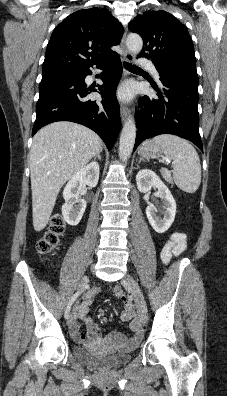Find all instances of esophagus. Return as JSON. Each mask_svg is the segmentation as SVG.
<instances>
[{"mask_svg": "<svg viewBox=\"0 0 227 396\" xmlns=\"http://www.w3.org/2000/svg\"><path fill=\"white\" fill-rule=\"evenodd\" d=\"M125 39H126V31L123 34V37L121 39L120 45L123 49V53H124V60L126 62H133L134 60V56L132 53H130L127 49H126V44H125ZM126 74V72H125ZM120 114H121V119L122 121H126V119L129 117L130 115V110L128 109V107L121 105L120 108Z\"/></svg>", "mask_w": 227, "mask_h": 396, "instance_id": "esophagus-1", "label": "esophagus"}]
</instances>
